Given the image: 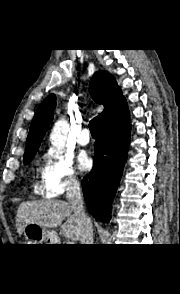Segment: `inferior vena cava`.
Segmentation results:
<instances>
[{
  "label": "inferior vena cava",
  "mask_w": 180,
  "mask_h": 294,
  "mask_svg": "<svg viewBox=\"0 0 180 294\" xmlns=\"http://www.w3.org/2000/svg\"><path fill=\"white\" fill-rule=\"evenodd\" d=\"M66 198L73 209L74 216L78 224L80 244H93L92 222L85 213L80 190V183L76 179L71 180L67 188Z\"/></svg>",
  "instance_id": "inferior-vena-cava-1"
}]
</instances>
